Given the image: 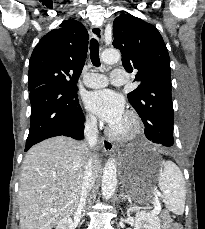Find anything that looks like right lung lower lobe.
Instances as JSON below:
<instances>
[{"label":"right lung lower lobe","mask_w":205,"mask_h":229,"mask_svg":"<svg viewBox=\"0 0 205 229\" xmlns=\"http://www.w3.org/2000/svg\"><path fill=\"white\" fill-rule=\"evenodd\" d=\"M31 125L25 151L53 136L83 138L85 117L77 90L60 84H46L30 91Z\"/></svg>","instance_id":"98d812e1"}]
</instances>
